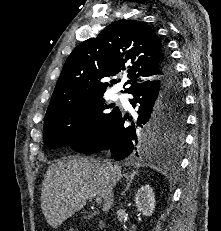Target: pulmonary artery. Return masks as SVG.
Wrapping results in <instances>:
<instances>
[{"label": "pulmonary artery", "mask_w": 221, "mask_h": 231, "mask_svg": "<svg viewBox=\"0 0 221 231\" xmlns=\"http://www.w3.org/2000/svg\"><path fill=\"white\" fill-rule=\"evenodd\" d=\"M115 98H116L117 100L121 101L122 103H126L124 96H122V95H120V94H117V95L115 96Z\"/></svg>", "instance_id": "obj_1"}]
</instances>
